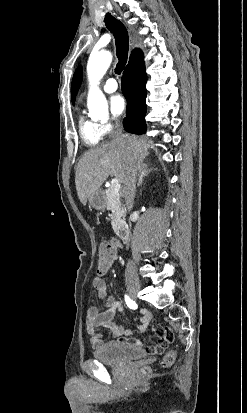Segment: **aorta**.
Returning <instances> with one entry per match:
<instances>
[{
	"label": "aorta",
	"mask_w": 247,
	"mask_h": 413,
	"mask_svg": "<svg viewBox=\"0 0 247 413\" xmlns=\"http://www.w3.org/2000/svg\"><path fill=\"white\" fill-rule=\"evenodd\" d=\"M112 61V55L108 51L91 53L87 64L89 80V92L87 106L92 119H101L108 116V104L98 84Z\"/></svg>",
	"instance_id": "obj_1"
}]
</instances>
